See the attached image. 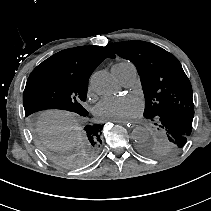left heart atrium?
<instances>
[{"instance_id":"39dd6f15","label":"left heart atrium","mask_w":211,"mask_h":211,"mask_svg":"<svg viewBox=\"0 0 211 211\" xmlns=\"http://www.w3.org/2000/svg\"><path fill=\"white\" fill-rule=\"evenodd\" d=\"M143 110L141 99L135 95L106 96L96 105L95 115L102 121H116L139 116Z\"/></svg>"}]
</instances>
